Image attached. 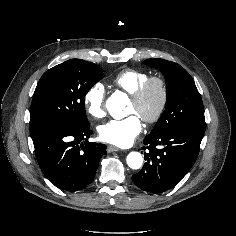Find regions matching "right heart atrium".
Listing matches in <instances>:
<instances>
[{
  "label": "right heart atrium",
  "mask_w": 236,
  "mask_h": 236,
  "mask_svg": "<svg viewBox=\"0 0 236 236\" xmlns=\"http://www.w3.org/2000/svg\"><path fill=\"white\" fill-rule=\"evenodd\" d=\"M105 89L100 83L92 85L84 95L86 111L93 118H101L105 113Z\"/></svg>",
  "instance_id": "obj_1"
}]
</instances>
